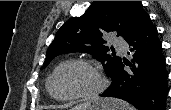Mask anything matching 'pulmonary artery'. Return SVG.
Returning <instances> with one entry per match:
<instances>
[{
    "instance_id": "e3ab8cb5",
    "label": "pulmonary artery",
    "mask_w": 171,
    "mask_h": 110,
    "mask_svg": "<svg viewBox=\"0 0 171 110\" xmlns=\"http://www.w3.org/2000/svg\"><path fill=\"white\" fill-rule=\"evenodd\" d=\"M114 46L121 52H125L128 48L126 41L121 38L114 41Z\"/></svg>"
}]
</instances>
